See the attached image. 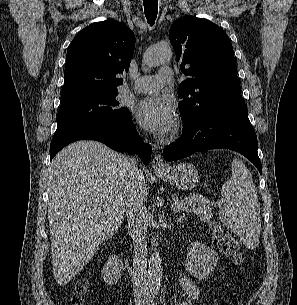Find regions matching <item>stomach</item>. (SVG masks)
<instances>
[{
    "label": "stomach",
    "instance_id": "obj_1",
    "mask_svg": "<svg viewBox=\"0 0 297 305\" xmlns=\"http://www.w3.org/2000/svg\"><path fill=\"white\" fill-rule=\"evenodd\" d=\"M164 181L181 190L192 189L199 182L197 169L190 163H179L168 166L164 170L156 171Z\"/></svg>",
    "mask_w": 297,
    "mask_h": 305
}]
</instances>
